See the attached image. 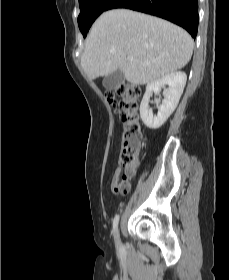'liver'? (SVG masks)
<instances>
[{
    "instance_id": "liver-1",
    "label": "liver",
    "mask_w": 229,
    "mask_h": 280,
    "mask_svg": "<svg viewBox=\"0 0 229 280\" xmlns=\"http://www.w3.org/2000/svg\"><path fill=\"white\" fill-rule=\"evenodd\" d=\"M193 45L184 29L168 21L115 9L93 24L81 66L89 79L121 70L128 82L144 85L183 68L191 59Z\"/></svg>"
}]
</instances>
